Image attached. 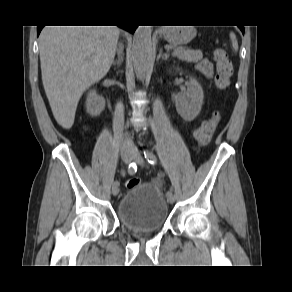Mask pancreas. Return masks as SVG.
Here are the masks:
<instances>
[{
    "instance_id": "1",
    "label": "pancreas",
    "mask_w": 292,
    "mask_h": 292,
    "mask_svg": "<svg viewBox=\"0 0 292 292\" xmlns=\"http://www.w3.org/2000/svg\"><path fill=\"white\" fill-rule=\"evenodd\" d=\"M176 51V56L187 62H198L203 58V53L200 50L184 49L182 47H173Z\"/></svg>"
}]
</instances>
